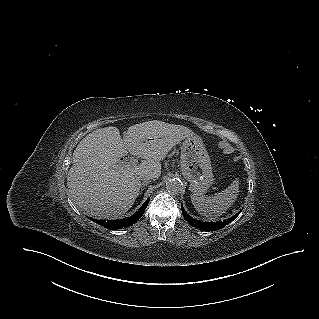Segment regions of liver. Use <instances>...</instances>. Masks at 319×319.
I'll return each mask as SVG.
<instances>
[{"label":"liver","instance_id":"6515ba94","mask_svg":"<svg viewBox=\"0 0 319 319\" xmlns=\"http://www.w3.org/2000/svg\"><path fill=\"white\" fill-rule=\"evenodd\" d=\"M194 133L185 126L158 120L135 124L124 138L117 127L96 129L83 138L72 157L67 186L76 204L98 218H115L134 204L141 189L142 172L161 175L160 161L181 140ZM128 153L143 160L122 166Z\"/></svg>","mask_w":319,"mask_h":319}]
</instances>
